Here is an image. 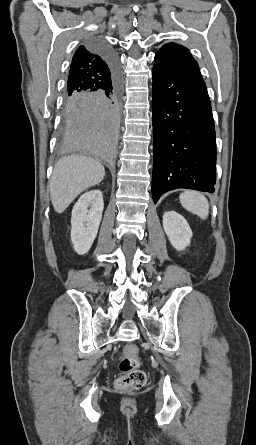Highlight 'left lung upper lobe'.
Here are the masks:
<instances>
[{
	"instance_id": "5c2ea615",
	"label": "left lung upper lobe",
	"mask_w": 256,
	"mask_h": 445,
	"mask_svg": "<svg viewBox=\"0 0 256 445\" xmlns=\"http://www.w3.org/2000/svg\"><path fill=\"white\" fill-rule=\"evenodd\" d=\"M155 64L172 69L193 80L204 82L198 63L184 46L175 43L163 45L155 56Z\"/></svg>"
}]
</instances>
